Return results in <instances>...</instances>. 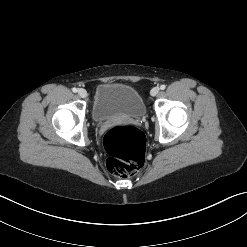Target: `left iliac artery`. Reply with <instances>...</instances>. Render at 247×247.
Instances as JSON below:
<instances>
[{"mask_svg":"<svg viewBox=\"0 0 247 247\" xmlns=\"http://www.w3.org/2000/svg\"><path fill=\"white\" fill-rule=\"evenodd\" d=\"M165 88H166V86L164 84L160 86L161 90H164Z\"/></svg>","mask_w":247,"mask_h":247,"instance_id":"obj_1","label":"left iliac artery"}]
</instances>
